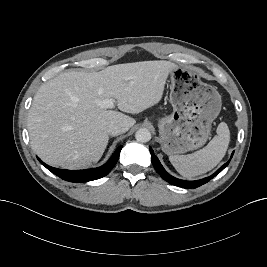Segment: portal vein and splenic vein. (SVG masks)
Returning a JSON list of instances; mask_svg holds the SVG:
<instances>
[{
    "label": "portal vein and splenic vein",
    "instance_id": "portal-vein-and-splenic-vein-1",
    "mask_svg": "<svg viewBox=\"0 0 267 267\" xmlns=\"http://www.w3.org/2000/svg\"><path fill=\"white\" fill-rule=\"evenodd\" d=\"M98 105L103 109L113 108L114 107V99H105L98 101Z\"/></svg>",
    "mask_w": 267,
    "mask_h": 267
}]
</instances>
